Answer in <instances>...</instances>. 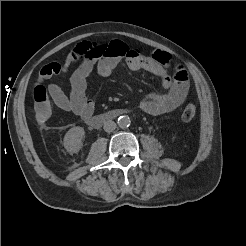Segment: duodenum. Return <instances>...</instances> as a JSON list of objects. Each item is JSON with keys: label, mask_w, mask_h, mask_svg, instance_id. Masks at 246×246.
Instances as JSON below:
<instances>
[{"label": "duodenum", "mask_w": 246, "mask_h": 246, "mask_svg": "<svg viewBox=\"0 0 246 246\" xmlns=\"http://www.w3.org/2000/svg\"><path fill=\"white\" fill-rule=\"evenodd\" d=\"M126 113H128V111L125 109H112V110L103 112L101 114L89 117L87 119V123L93 128H99L104 123L111 121L113 119H116L119 116L124 115Z\"/></svg>", "instance_id": "obj_1"}]
</instances>
